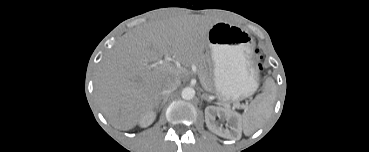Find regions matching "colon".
<instances>
[{"instance_id": "5ec220e1", "label": "colon", "mask_w": 369, "mask_h": 152, "mask_svg": "<svg viewBox=\"0 0 369 152\" xmlns=\"http://www.w3.org/2000/svg\"><path fill=\"white\" fill-rule=\"evenodd\" d=\"M257 58L259 59V61H261L262 60V55H260L259 53H257ZM259 66H260V64H259Z\"/></svg>"}]
</instances>
